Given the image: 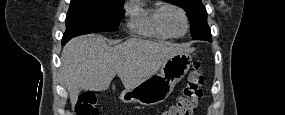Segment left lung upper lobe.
<instances>
[{
  "label": "left lung upper lobe",
  "instance_id": "1",
  "mask_svg": "<svg viewBox=\"0 0 285 115\" xmlns=\"http://www.w3.org/2000/svg\"><path fill=\"white\" fill-rule=\"evenodd\" d=\"M183 8L189 18L191 36L195 40L212 41L210 28L207 24V11L201 0H164Z\"/></svg>",
  "mask_w": 285,
  "mask_h": 115
}]
</instances>
